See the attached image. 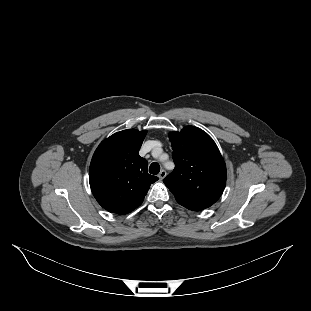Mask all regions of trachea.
<instances>
[{
    "instance_id": "trachea-1",
    "label": "trachea",
    "mask_w": 311,
    "mask_h": 311,
    "mask_svg": "<svg viewBox=\"0 0 311 311\" xmlns=\"http://www.w3.org/2000/svg\"><path fill=\"white\" fill-rule=\"evenodd\" d=\"M160 171V165L157 163V162H153L151 165H150V168H149V172L151 174H158Z\"/></svg>"
}]
</instances>
